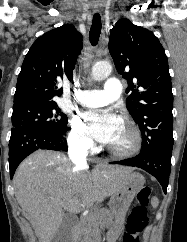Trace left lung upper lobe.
I'll use <instances>...</instances> for the list:
<instances>
[{
    "label": "left lung upper lobe",
    "mask_w": 187,
    "mask_h": 242,
    "mask_svg": "<svg viewBox=\"0 0 187 242\" xmlns=\"http://www.w3.org/2000/svg\"><path fill=\"white\" fill-rule=\"evenodd\" d=\"M109 51L118 73L128 82L126 106L141 129L140 152L172 147V83L158 38L124 18L111 30Z\"/></svg>",
    "instance_id": "5c2ea615"
}]
</instances>
